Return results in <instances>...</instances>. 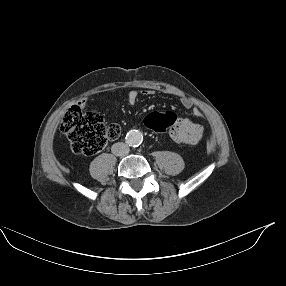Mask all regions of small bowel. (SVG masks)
I'll return each instance as SVG.
<instances>
[{
  "mask_svg": "<svg viewBox=\"0 0 286 286\" xmlns=\"http://www.w3.org/2000/svg\"><path fill=\"white\" fill-rule=\"evenodd\" d=\"M145 95H152L154 92L152 90L143 91ZM139 98V91L136 89L130 90L127 94V102L129 105H135ZM85 103L82 102L81 106H84ZM184 105L189 108L191 103L189 100L184 101ZM195 115L198 117H204L203 113L200 110L194 111ZM146 119V118H145ZM170 137L179 144L183 145H195L203 137V127L198 123H194L187 119H182L180 122L174 126L172 129L168 130Z\"/></svg>",
  "mask_w": 286,
  "mask_h": 286,
  "instance_id": "small-bowel-1",
  "label": "small bowel"
}]
</instances>
